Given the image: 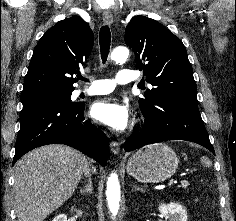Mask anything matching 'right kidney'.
Masks as SVG:
<instances>
[{"label":"right kidney","instance_id":"ca27d5eb","mask_svg":"<svg viewBox=\"0 0 236 221\" xmlns=\"http://www.w3.org/2000/svg\"><path fill=\"white\" fill-rule=\"evenodd\" d=\"M76 213L79 216L82 215V211L81 210H76ZM52 221H68V220H67V216L65 214H60V215L56 216Z\"/></svg>","mask_w":236,"mask_h":221}]
</instances>
